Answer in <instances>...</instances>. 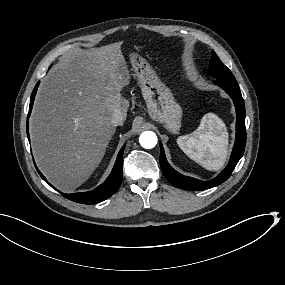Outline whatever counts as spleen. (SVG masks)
I'll use <instances>...</instances> for the list:
<instances>
[{
    "instance_id": "spleen-1",
    "label": "spleen",
    "mask_w": 285,
    "mask_h": 285,
    "mask_svg": "<svg viewBox=\"0 0 285 285\" xmlns=\"http://www.w3.org/2000/svg\"><path fill=\"white\" fill-rule=\"evenodd\" d=\"M180 149L207 170H220L227 157L228 134L225 124L213 113L201 119L200 126L190 135L177 139Z\"/></svg>"
}]
</instances>
